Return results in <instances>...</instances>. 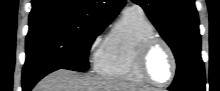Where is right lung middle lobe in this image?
I'll return each instance as SVG.
<instances>
[{
    "label": "right lung middle lobe",
    "instance_id": "dd1d6c3e",
    "mask_svg": "<svg viewBox=\"0 0 220 91\" xmlns=\"http://www.w3.org/2000/svg\"><path fill=\"white\" fill-rule=\"evenodd\" d=\"M107 26L64 19L29 25L22 79L52 68L86 71L90 47Z\"/></svg>",
    "mask_w": 220,
    "mask_h": 91
}]
</instances>
